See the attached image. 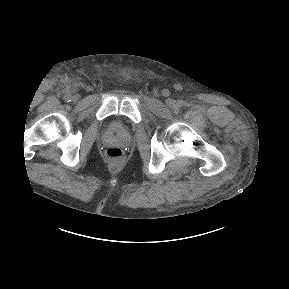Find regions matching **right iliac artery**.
<instances>
[{
    "label": "right iliac artery",
    "instance_id": "right-iliac-artery-1",
    "mask_svg": "<svg viewBox=\"0 0 289 289\" xmlns=\"http://www.w3.org/2000/svg\"><path fill=\"white\" fill-rule=\"evenodd\" d=\"M71 95L68 93V94H66L65 96H64V99L67 101V102H69V101H71Z\"/></svg>",
    "mask_w": 289,
    "mask_h": 289
}]
</instances>
